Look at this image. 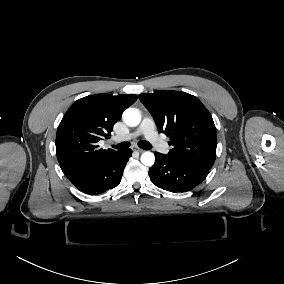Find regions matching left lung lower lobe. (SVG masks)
Segmentation results:
<instances>
[{"instance_id": "obj_1", "label": "left lung lower lobe", "mask_w": 284, "mask_h": 284, "mask_svg": "<svg viewBox=\"0 0 284 284\" xmlns=\"http://www.w3.org/2000/svg\"><path fill=\"white\" fill-rule=\"evenodd\" d=\"M155 156V164L149 169L150 179L167 191L187 192L200 184L209 172V169L158 152Z\"/></svg>"}]
</instances>
